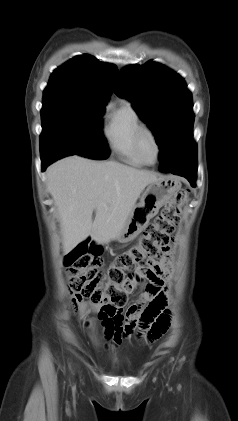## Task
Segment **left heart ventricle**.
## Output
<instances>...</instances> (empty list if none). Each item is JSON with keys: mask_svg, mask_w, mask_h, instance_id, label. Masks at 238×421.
<instances>
[{"mask_svg": "<svg viewBox=\"0 0 238 421\" xmlns=\"http://www.w3.org/2000/svg\"><path fill=\"white\" fill-rule=\"evenodd\" d=\"M144 150L146 152L147 157L150 160H153L155 156V147L149 138H146L144 140Z\"/></svg>", "mask_w": 238, "mask_h": 421, "instance_id": "b2bd125f", "label": "left heart ventricle"}]
</instances>
